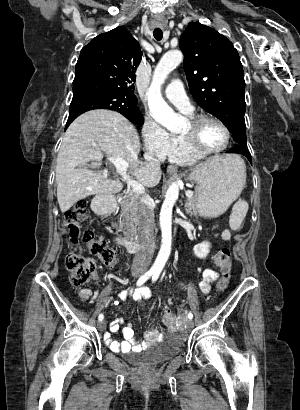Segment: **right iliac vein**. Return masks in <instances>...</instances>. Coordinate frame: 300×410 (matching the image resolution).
Listing matches in <instances>:
<instances>
[{"label":"right iliac vein","mask_w":300,"mask_h":410,"mask_svg":"<svg viewBox=\"0 0 300 410\" xmlns=\"http://www.w3.org/2000/svg\"><path fill=\"white\" fill-rule=\"evenodd\" d=\"M97 326H98V329H99L100 331H104V330L106 329V323H105L104 321H100V322L97 324Z\"/></svg>","instance_id":"obj_1"}]
</instances>
